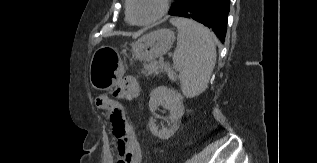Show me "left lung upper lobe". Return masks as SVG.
Here are the masks:
<instances>
[{
	"instance_id": "left-lung-upper-lobe-1",
	"label": "left lung upper lobe",
	"mask_w": 317,
	"mask_h": 163,
	"mask_svg": "<svg viewBox=\"0 0 317 163\" xmlns=\"http://www.w3.org/2000/svg\"><path fill=\"white\" fill-rule=\"evenodd\" d=\"M180 0H175V2L172 4L170 11L174 10L178 4H179Z\"/></svg>"
}]
</instances>
